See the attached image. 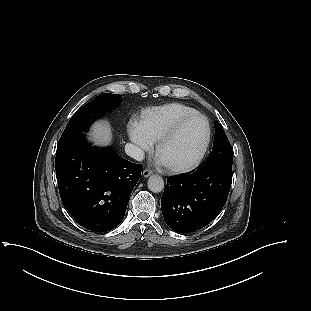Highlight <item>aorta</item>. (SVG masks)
<instances>
[{
	"label": "aorta",
	"mask_w": 311,
	"mask_h": 311,
	"mask_svg": "<svg viewBox=\"0 0 311 311\" xmlns=\"http://www.w3.org/2000/svg\"><path fill=\"white\" fill-rule=\"evenodd\" d=\"M148 189L153 193H160L164 189V180L159 175H151L147 181Z\"/></svg>",
	"instance_id": "obj_1"
}]
</instances>
